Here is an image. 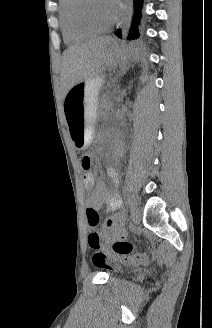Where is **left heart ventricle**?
Returning <instances> with one entry per match:
<instances>
[{"label":"left heart ventricle","mask_w":212,"mask_h":328,"mask_svg":"<svg viewBox=\"0 0 212 328\" xmlns=\"http://www.w3.org/2000/svg\"><path fill=\"white\" fill-rule=\"evenodd\" d=\"M87 11L89 16L99 24L107 23L113 15V9L105 3V0H89Z\"/></svg>","instance_id":"1"}]
</instances>
